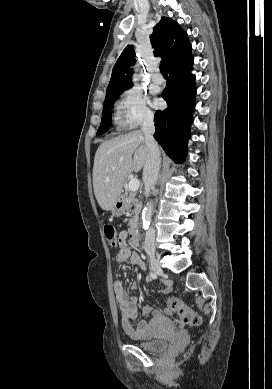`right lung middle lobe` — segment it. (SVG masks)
Here are the masks:
<instances>
[{
    "mask_svg": "<svg viewBox=\"0 0 272 389\" xmlns=\"http://www.w3.org/2000/svg\"><path fill=\"white\" fill-rule=\"evenodd\" d=\"M124 91L125 90L114 92L105 97L102 120L97 135H101L108 130V127L111 124V109L113 108L115 98Z\"/></svg>",
    "mask_w": 272,
    "mask_h": 389,
    "instance_id": "dd1d6c3e",
    "label": "right lung middle lobe"
}]
</instances>
